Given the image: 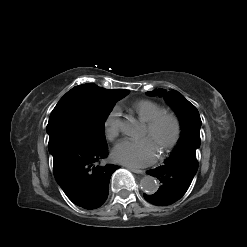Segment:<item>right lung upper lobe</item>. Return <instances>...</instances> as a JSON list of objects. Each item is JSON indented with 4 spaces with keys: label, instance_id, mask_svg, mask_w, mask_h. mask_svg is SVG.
<instances>
[{
    "label": "right lung upper lobe",
    "instance_id": "obj_1",
    "mask_svg": "<svg viewBox=\"0 0 247 247\" xmlns=\"http://www.w3.org/2000/svg\"><path fill=\"white\" fill-rule=\"evenodd\" d=\"M84 85H87V86H91V87H98L97 85L95 84H84ZM98 88H101V87H98ZM103 91L107 92V93H112V92H115V91H118L120 89H113V90H107V89H104V88H101Z\"/></svg>",
    "mask_w": 247,
    "mask_h": 247
}]
</instances>
